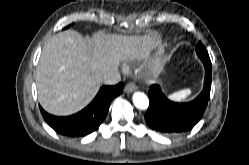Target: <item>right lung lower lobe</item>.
<instances>
[{"mask_svg":"<svg viewBox=\"0 0 249 165\" xmlns=\"http://www.w3.org/2000/svg\"><path fill=\"white\" fill-rule=\"evenodd\" d=\"M124 84L103 86L93 101L82 111L68 116L57 117L40 111L45 121L57 133L68 137L85 136L95 131L105 119L111 101L123 92Z\"/></svg>","mask_w":249,"mask_h":165,"instance_id":"1","label":"right lung lower lobe"}]
</instances>
